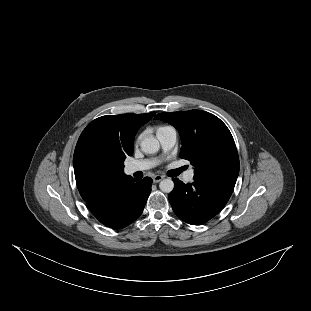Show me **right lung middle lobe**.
I'll use <instances>...</instances> for the list:
<instances>
[{"mask_svg":"<svg viewBox=\"0 0 311 311\" xmlns=\"http://www.w3.org/2000/svg\"><path fill=\"white\" fill-rule=\"evenodd\" d=\"M82 153L89 160H100L108 155V147L101 139L91 138L84 143Z\"/></svg>","mask_w":311,"mask_h":311,"instance_id":"dd1d6c3e","label":"right lung middle lobe"}]
</instances>
